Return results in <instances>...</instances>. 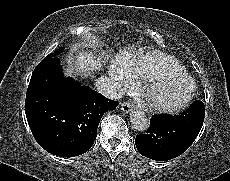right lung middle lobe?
<instances>
[{
	"label": "right lung middle lobe",
	"instance_id": "1",
	"mask_svg": "<svg viewBox=\"0 0 230 181\" xmlns=\"http://www.w3.org/2000/svg\"><path fill=\"white\" fill-rule=\"evenodd\" d=\"M62 51V48L57 49L54 53L49 54L47 57H45L44 59H49L52 57H55L57 54H59Z\"/></svg>",
	"mask_w": 230,
	"mask_h": 181
}]
</instances>
